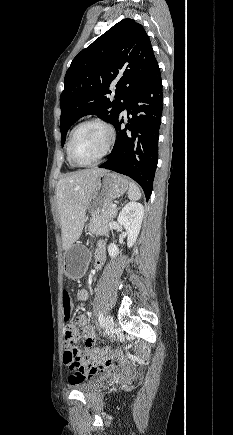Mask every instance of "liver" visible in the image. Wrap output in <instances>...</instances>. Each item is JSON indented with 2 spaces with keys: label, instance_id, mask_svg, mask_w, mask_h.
Segmentation results:
<instances>
[{
  "label": "liver",
  "instance_id": "1",
  "mask_svg": "<svg viewBox=\"0 0 233 435\" xmlns=\"http://www.w3.org/2000/svg\"><path fill=\"white\" fill-rule=\"evenodd\" d=\"M106 171L98 168L79 170L57 183L56 199L64 250L69 249L80 237L97 177Z\"/></svg>",
  "mask_w": 233,
  "mask_h": 435
}]
</instances>
